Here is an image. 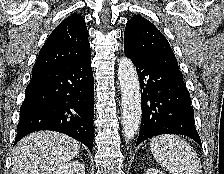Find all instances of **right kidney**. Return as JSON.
<instances>
[{
	"instance_id": "obj_1",
	"label": "right kidney",
	"mask_w": 224,
	"mask_h": 174,
	"mask_svg": "<svg viewBox=\"0 0 224 174\" xmlns=\"http://www.w3.org/2000/svg\"><path fill=\"white\" fill-rule=\"evenodd\" d=\"M53 174H85V168L82 163L72 161L59 167Z\"/></svg>"
}]
</instances>
